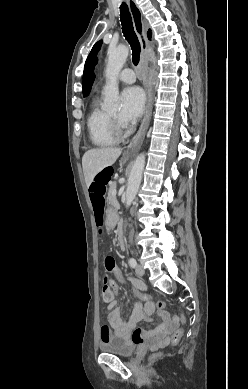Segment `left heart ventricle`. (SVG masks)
Masks as SVG:
<instances>
[{
  "mask_svg": "<svg viewBox=\"0 0 248 389\" xmlns=\"http://www.w3.org/2000/svg\"><path fill=\"white\" fill-rule=\"evenodd\" d=\"M111 115L115 117L117 115V113H112Z\"/></svg>",
  "mask_w": 248,
  "mask_h": 389,
  "instance_id": "obj_1",
  "label": "left heart ventricle"
}]
</instances>
